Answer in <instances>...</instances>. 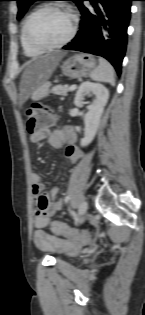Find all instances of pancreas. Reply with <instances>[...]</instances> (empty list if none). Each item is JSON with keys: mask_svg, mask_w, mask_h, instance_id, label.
<instances>
[{"mask_svg": "<svg viewBox=\"0 0 145 315\" xmlns=\"http://www.w3.org/2000/svg\"><path fill=\"white\" fill-rule=\"evenodd\" d=\"M69 90V85H56L51 88L50 92L56 95H66Z\"/></svg>", "mask_w": 145, "mask_h": 315, "instance_id": "cf45deb5", "label": "pancreas"}]
</instances>
